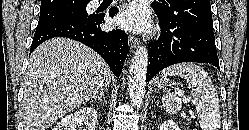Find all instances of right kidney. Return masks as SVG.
Listing matches in <instances>:
<instances>
[{"mask_svg": "<svg viewBox=\"0 0 249 130\" xmlns=\"http://www.w3.org/2000/svg\"><path fill=\"white\" fill-rule=\"evenodd\" d=\"M97 117V111L93 107H83L63 118L53 130H76L81 125L84 130H95Z\"/></svg>", "mask_w": 249, "mask_h": 130, "instance_id": "obj_1", "label": "right kidney"}]
</instances>
